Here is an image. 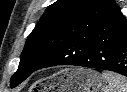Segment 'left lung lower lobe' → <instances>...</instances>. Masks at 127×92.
Masks as SVG:
<instances>
[{"mask_svg":"<svg viewBox=\"0 0 127 92\" xmlns=\"http://www.w3.org/2000/svg\"><path fill=\"white\" fill-rule=\"evenodd\" d=\"M56 65L105 69L127 77V20L120 9L74 36L39 69Z\"/></svg>","mask_w":127,"mask_h":92,"instance_id":"left-lung-lower-lobe-1","label":"left lung lower lobe"}]
</instances>
